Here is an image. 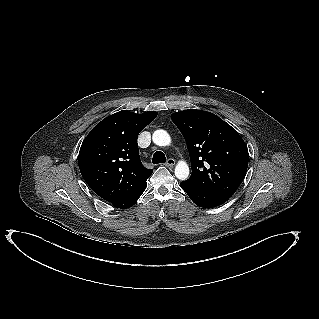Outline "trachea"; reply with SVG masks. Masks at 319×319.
<instances>
[{"label":"trachea","mask_w":319,"mask_h":319,"mask_svg":"<svg viewBox=\"0 0 319 319\" xmlns=\"http://www.w3.org/2000/svg\"><path fill=\"white\" fill-rule=\"evenodd\" d=\"M166 162V157L163 152L161 151H156L153 155L152 158V163L153 164H161Z\"/></svg>","instance_id":"3493384b"}]
</instances>
